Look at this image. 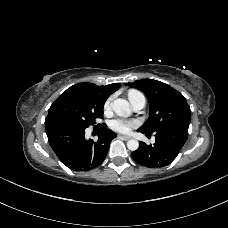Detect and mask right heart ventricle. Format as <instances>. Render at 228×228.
Instances as JSON below:
<instances>
[{"mask_svg":"<svg viewBox=\"0 0 228 228\" xmlns=\"http://www.w3.org/2000/svg\"><path fill=\"white\" fill-rule=\"evenodd\" d=\"M134 92H137V91H135V90H130V91H129V94H130V93H134Z\"/></svg>","mask_w":228,"mask_h":228,"instance_id":"obj_1","label":"right heart ventricle"}]
</instances>
